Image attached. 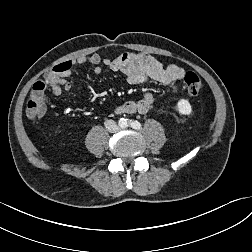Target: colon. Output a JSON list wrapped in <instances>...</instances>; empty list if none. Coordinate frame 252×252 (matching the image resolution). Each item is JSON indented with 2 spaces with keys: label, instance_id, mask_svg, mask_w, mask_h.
I'll list each match as a JSON object with an SVG mask.
<instances>
[{
  "label": "colon",
  "instance_id": "colon-1",
  "mask_svg": "<svg viewBox=\"0 0 252 252\" xmlns=\"http://www.w3.org/2000/svg\"><path fill=\"white\" fill-rule=\"evenodd\" d=\"M66 66L62 63L55 66L46 75L44 80L33 84L31 95L26 104V115L29 118H40L46 111V89L54 83H57ZM185 87L190 95H197L203 89V82L194 72H187L183 76Z\"/></svg>",
  "mask_w": 252,
  "mask_h": 252
}]
</instances>
